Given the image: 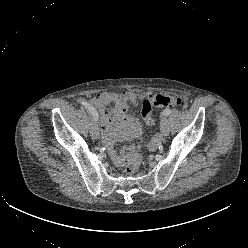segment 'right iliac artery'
I'll list each match as a JSON object with an SVG mask.
<instances>
[{
    "instance_id": "82829eb1",
    "label": "right iliac artery",
    "mask_w": 248,
    "mask_h": 248,
    "mask_svg": "<svg viewBox=\"0 0 248 248\" xmlns=\"http://www.w3.org/2000/svg\"><path fill=\"white\" fill-rule=\"evenodd\" d=\"M82 105L93 115L95 120H98V113L95 108L87 102H82Z\"/></svg>"
}]
</instances>
